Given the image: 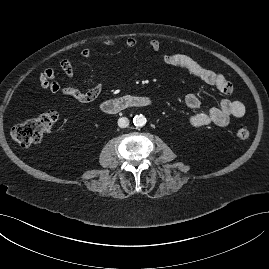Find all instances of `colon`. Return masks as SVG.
Returning a JSON list of instances; mask_svg holds the SVG:
<instances>
[{"instance_id": "1", "label": "colon", "mask_w": 269, "mask_h": 269, "mask_svg": "<svg viewBox=\"0 0 269 269\" xmlns=\"http://www.w3.org/2000/svg\"><path fill=\"white\" fill-rule=\"evenodd\" d=\"M57 118L55 111H47L33 119L15 125L11 130V136L20 146L30 147L52 131ZM249 135L250 132L245 127L239 128L236 132V136L240 140L248 139Z\"/></svg>"}]
</instances>
